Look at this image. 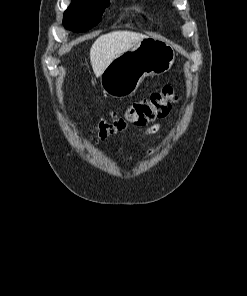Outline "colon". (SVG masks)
<instances>
[{
	"mask_svg": "<svg viewBox=\"0 0 247 296\" xmlns=\"http://www.w3.org/2000/svg\"><path fill=\"white\" fill-rule=\"evenodd\" d=\"M177 100V93L172 84L165 85L160 91L133 102L121 115H114L110 120H102L94 129L98 139H106L123 130L127 124L145 125L168 115L171 106Z\"/></svg>",
	"mask_w": 247,
	"mask_h": 296,
	"instance_id": "5ec220e1",
	"label": "colon"
}]
</instances>
